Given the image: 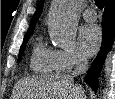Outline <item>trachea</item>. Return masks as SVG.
I'll use <instances>...</instances> for the list:
<instances>
[{
  "mask_svg": "<svg viewBox=\"0 0 115 99\" xmlns=\"http://www.w3.org/2000/svg\"><path fill=\"white\" fill-rule=\"evenodd\" d=\"M95 4L99 9L104 7V0H95Z\"/></svg>",
  "mask_w": 115,
  "mask_h": 99,
  "instance_id": "trachea-1",
  "label": "trachea"
}]
</instances>
